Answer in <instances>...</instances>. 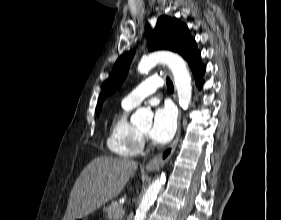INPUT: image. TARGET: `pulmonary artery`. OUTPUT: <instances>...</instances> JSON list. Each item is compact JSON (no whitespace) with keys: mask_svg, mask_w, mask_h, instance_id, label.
<instances>
[{"mask_svg":"<svg viewBox=\"0 0 281 220\" xmlns=\"http://www.w3.org/2000/svg\"><path fill=\"white\" fill-rule=\"evenodd\" d=\"M162 86L163 81L159 76H151L130 91L124 97L123 102L128 106L136 107Z\"/></svg>","mask_w":281,"mask_h":220,"instance_id":"obj_1","label":"pulmonary artery"}]
</instances>
